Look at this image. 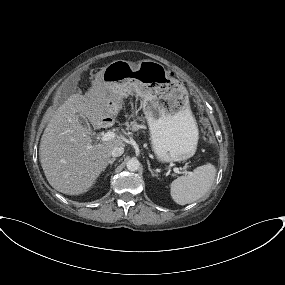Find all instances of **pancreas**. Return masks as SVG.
Returning a JSON list of instances; mask_svg holds the SVG:
<instances>
[{
    "mask_svg": "<svg viewBox=\"0 0 285 285\" xmlns=\"http://www.w3.org/2000/svg\"><path fill=\"white\" fill-rule=\"evenodd\" d=\"M125 126H126V130H132V131H136L139 128H143V125H140L137 123V121L133 120V121H126L125 122Z\"/></svg>",
    "mask_w": 285,
    "mask_h": 285,
    "instance_id": "cf45deb5",
    "label": "pancreas"
}]
</instances>
